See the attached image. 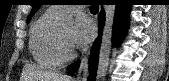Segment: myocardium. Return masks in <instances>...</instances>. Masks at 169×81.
Masks as SVG:
<instances>
[{
    "mask_svg": "<svg viewBox=\"0 0 169 81\" xmlns=\"http://www.w3.org/2000/svg\"><path fill=\"white\" fill-rule=\"evenodd\" d=\"M55 41H56L58 54L62 61H68L75 56L74 50L72 48H67L64 45L62 38L60 36L59 29L56 30Z\"/></svg>",
    "mask_w": 169,
    "mask_h": 81,
    "instance_id": "f54148a6",
    "label": "myocardium"
}]
</instances>
